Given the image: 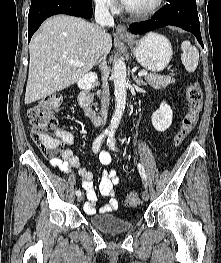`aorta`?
<instances>
[{
	"label": "aorta",
	"instance_id": "1",
	"mask_svg": "<svg viewBox=\"0 0 221 263\" xmlns=\"http://www.w3.org/2000/svg\"><path fill=\"white\" fill-rule=\"evenodd\" d=\"M126 77H127V73H126L125 62L122 60L116 61L113 66L112 75H111V78L114 83V95H115L116 107L113 116L110 120L109 127L107 129L109 135H113L115 133L125 110L126 86H127Z\"/></svg>",
	"mask_w": 221,
	"mask_h": 263
}]
</instances>
